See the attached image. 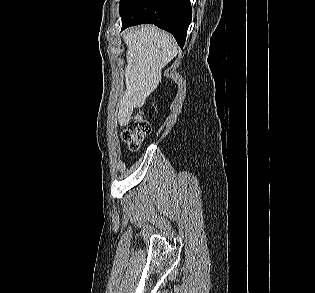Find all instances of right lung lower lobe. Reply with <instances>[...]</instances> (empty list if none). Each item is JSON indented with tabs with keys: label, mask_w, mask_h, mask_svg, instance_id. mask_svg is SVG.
Wrapping results in <instances>:
<instances>
[{
	"label": "right lung lower lobe",
	"mask_w": 315,
	"mask_h": 293,
	"mask_svg": "<svg viewBox=\"0 0 315 293\" xmlns=\"http://www.w3.org/2000/svg\"><path fill=\"white\" fill-rule=\"evenodd\" d=\"M122 30L151 23L170 32L183 47L192 18L190 0H121Z\"/></svg>",
	"instance_id": "1"
}]
</instances>
